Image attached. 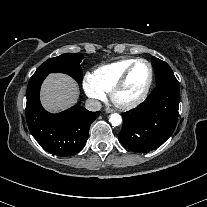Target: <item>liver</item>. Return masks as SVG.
I'll list each match as a JSON object with an SVG mask.
<instances>
[{
	"label": "liver",
	"instance_id": "liver-1",
	"mask_svg": "<svg viewBox=\"0 0 207 207\" xmlns=\"http://www.w3.org/2000/svg\"><path fill=\"white\" fill-rule=\"evenodd\" d=\"M78 97L77 83L66 74H49L41 87L42 106L52 113L66 110L75 105Z\"/></svg>",
	"mask_w": 207,
	"mask_h": 207
}]
</instances>
